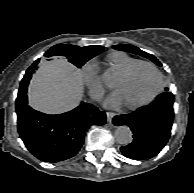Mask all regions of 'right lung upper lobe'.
Returning <instances> with one entry per match:
<instances>
[{
    "instance_id": "cb5924a9",
    "label": "right lung upper lobe",
    "mask_w": 194,
    "mask_h": 193,
    "mask_svg": "<svg viewBox=\"0 0 194 193\" xmlns=\"http://www.w3.org/2000/svg\"><path fill=\"white\" fill-rule=\"evenodd\" d=\"M59 45H63L64 47H67V48H71V49H75V50H79V51H82V52H101L103 50V46H86V47H78V46H74V45H69V44H58V45H55L53 46L52 48H50L46 53H45V56L47 58L49 57H52V56H61L59 55L58 53H56L54 51V47L56 46H59ZM39 60H36L29 68L28 70L26 71V74L24 76V78L22 79V86L25 88L28 86V83L32 77V74L35 72V70L37 69L38 67V64H39Z\"/></svg>"
}]
</instances>
